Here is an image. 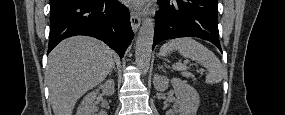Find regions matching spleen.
<instances>
[{"label":"spleen","mask_w":285,"mask_h":115,"mask_svg":"<svg viewBox=\"0 0 285 115\" xmlns=\"http://www.w3.org/2000/svg\"><path fill=\"white\" fill-rule=\"evenodd\" d=\"M178 51L182 56L196 61L198 64L205 67L208 71L206 76V83L216 84L219 83L224 75L225 69L216 55L210 51L206 46L192 38H178L170 40L161 48V52L166 54L170 51ZM176 71H184L188 67L176 63L172 65Z\"/></svg>","instance_id":"1"}]
</instances>
